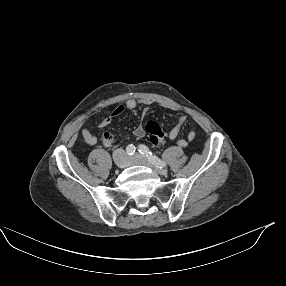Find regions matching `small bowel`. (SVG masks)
Instances as JSON below:
<instances>
[{
	"instance_id": "obj_1",
	"label": "small bowel",
	"mask_w": 286,
	"mask_h": 286,
	"mask_svg": "<svg viewBox=\"0 0 286 286\" xmlns=\"http://www.w3.org/2000/svg\"><path fill=\"white\" fill-rule=\"evenodd\" d=\"M152 101L149 99H146L143 101V104L146 106L151 105ZM137 108H138V101L134 98H130L126 101L124 105H119L114 109V111L104 118L100 122V127H107L108 125L111 124L114 118L120 116L125 110H128L129 112L133 113L134 115L137 114ZM187 120V116L185 114H182L179 116L176 124L173 126V128L169 131L168 133V138L170 140H176L183 125L185 124ZM134 135L138 138L144 137L146 134V130L142 125H138L134 131ZM82 137L84 141L89 144V145H95L97 143V137L93 135L88 129H82ZM196 137V134L194 131H190L187 134V138H180L177 140V145L181 148H185L188 146L189 142L193 141ZM113 142H104L102 141V145L106 148L111 147Z\"/></svg>"
}]
</instances>
